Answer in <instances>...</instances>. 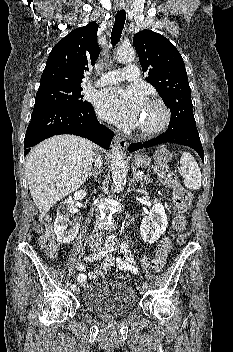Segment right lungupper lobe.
Returning a JSON list of instances; mask_svg holds the SVG:
<instances>
[{
    "label": "right lung upper lobe",
    "instance_id": "right-lung-upper-lobe-1",
    "mask_svg": "<svg viewBox=\"0 0 233 352\" xmlns=\"http://www.w3.org/2000/svg\"><path fill=\"white\" fill-rule=\"evenodd\" d=\"M98 24L91 22L71 31L50 52L41 76L40 87L52 84L81 85L84 72L95 64L100 48Z\"/></svg>",
    "mask_w": 233,
    "mask_h": 352
}]
</instances>
